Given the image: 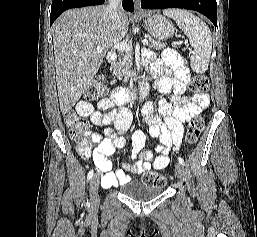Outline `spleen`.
<instances>
[{
	"instance_id": "obj_1",
	"label": "spleen",
	"mask_w": 257,
	"mask_h": 237,
	"mask_svg": "<svg viewBox=\"0 0 257 237\" xmlns=\"http://www.w3.org/2000/svg\"><path fill=\"white\" fill-rule=\"evenodd\" d=\"M163 14L172 18L188 37L193 52L190 57L194 72L202 74L209 65L212 36L209 27L197 16L180 9H167Z\"/></svg>"
}]
</instances>
